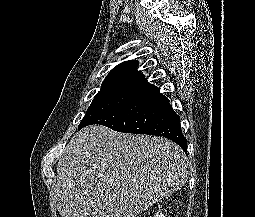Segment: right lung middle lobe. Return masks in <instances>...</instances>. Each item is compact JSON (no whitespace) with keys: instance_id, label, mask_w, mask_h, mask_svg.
Returning <instances> with one entry per match:
<instances>
[{"instance_id":"obj_1","label":"right lung middle lobe","mask_w":255,"mask_h":217,"mask_svg":"<svg viewBox=\"0 0 255 217\" xmlns=\"http://www.w3.org/2000/svg\"><path fill=\"white\" fill-rule=\"evenodd\" d=\"M143 90V87L135 86L101 88L93 99L84 118L81 120L78 129L83 128L98 116L122 106L137 97Z\"/></svg>"}]
</instances>
